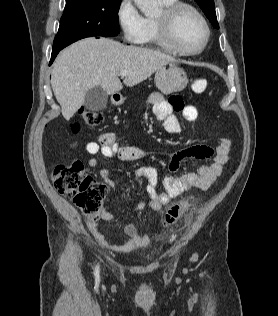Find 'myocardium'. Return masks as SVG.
I'll use <instances>...</instances> for the list:
<instances>
[{
  "label": "myocardium",
  "mask_w": 278,
  "mask_h": 316,
  "mask_svg": "<svg viewBox=\"0 0 278 316\" xmlns=\"http://www.w3.org/2000/svg\"><path fill=\"white\" fill-rule=\"evenodd\" d=\"M189 10L194 13L197 18L201 21L205 29V39L201 47L195 50H190L185 48L179 41L176 33V21L179 14L184 11ZM157 25L161 36L164 40L171 45L177 52L183 55H197L205 50L207 47L210 38H211V29L210 25L203 15V13L194 5L188 2L176 1L174 4L165 7L160 15L157 17Z\"/></svg>",
  "instance_id": "f54148a6"
}]
</instances>
